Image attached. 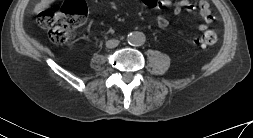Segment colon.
<instances>
[{
    "mask_svg": "<svg viewBox=\"0 0 253 138\" xmlns=\"http://www.w3.org/2000/svg\"><path fill=\"white\" fill-rule=\"evenodd\" d=\"M87 16V5L84 0H67L59 11L44 10L38 15V23L48 30L51 41L57 45L70 42L74 30L82 26ZM217 34L212 30L204 31L197 43L201 46H213Z\"/></svg>",
    "mask_w": 253,
    "mask_h": 138,
    "instance_id": "obj_1",
    "label": "colon"
}]
</instances>
